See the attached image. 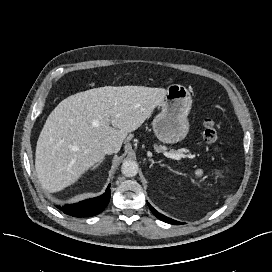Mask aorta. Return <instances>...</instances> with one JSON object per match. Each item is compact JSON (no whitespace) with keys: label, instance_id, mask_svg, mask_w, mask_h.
<instances>
[{"label":"aorta","instance_id":"obj_1","mask_svg":"<svg viewBox=\"0 0 272 272\" xmlns=\"http://www.w3.org/2000/svg\"><path fill=\"white\" fill-rule=\"evenodd\" d=\"M121 171L126 177H134L138 173V164L132 160L124 161Z\"/></svg>","mask_w":272,"mask_h":272}]
</instances>
